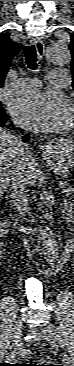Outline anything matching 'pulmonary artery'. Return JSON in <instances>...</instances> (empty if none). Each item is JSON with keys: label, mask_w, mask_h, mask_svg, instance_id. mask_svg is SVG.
I'll return each instance as SVG.
<instances>
[{"label": "pulmonary artery", "mask_w": 74, "mask_h": 366, "mask_svg": "<svg viewBox=\"0 0 74 366\" xmlns=\"http://www.w3.org/2000/svg\"><path fill=\"white\" fill-rule=\"evenodd\" d=\"M50 85L59 88L63 87L69 78V74L63 70H53L49 73ZM41 83L34 78H21L18 79L11 87V90L15 94H31L39 90Z\"/></svg>", "instance_id": "e3ab8cb5"}]
</instances>
